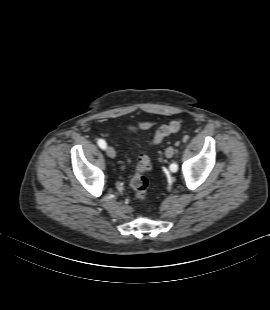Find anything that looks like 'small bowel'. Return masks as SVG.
<instances>
[{
	"instance_id": "1",
	"label": "small bowel",
	"mask_w": 270,
	"mask_h": 310,
	"mask_svg": "<svg viewBox=\"0 0 270 310\" xmlns=\"http://www.w3.org/2000/svg\"><path fill=\"white\" fill-rule=\"evenodd\" d=\"M155 123L151 122V121H145V122H140L136 125H128V129L132 132H138L141 130H147L149 128H151L152 126H154Z\"/></svg>"
}]
</instances>
